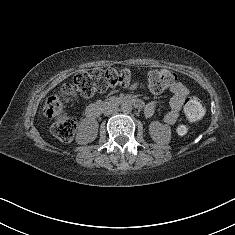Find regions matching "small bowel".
Listing matches in <instances>:
<instances>
[{
    "label": "small bowel",
    "instance_id": "c3829d8e",
    "mask_svg": "<svg viewBox=\"0 0 235 235\" xmlns=\"http://www.w3.org/2000/svg\"><path fill=\"white\" fill-rule=\"evenodd\" d=\"M170 91L172 96L168 101L169 111L163 118V121L166 124H174L177 121L182 104L189 95V90L181 82H175L173 85H171ZM158 104V102L152 101L146 105H143L145 116L151 117L155 113Z\"/></svg>",
    "mask_w": 235,
    "mask_h": 235
}]
</instances>
